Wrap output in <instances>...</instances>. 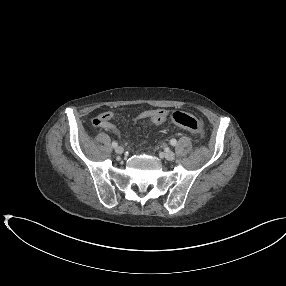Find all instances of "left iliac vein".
Listing matches in <instances>:
<instances>
[{"instance_id":"1","label":"left iliac vein","mask_w":286,"mask_h":286,"mask_svg":"<svg viewBox=\"0 0 286 286\" xmlns=\"http://www.w3.org/2000/svg\"><path fill=\"white\" fill-rule=\"evenodd\" d=\"M163 156L166 160L171 161L175 158V153L173 151H167L163 154Z\"/></svg>"}]
</instances>
